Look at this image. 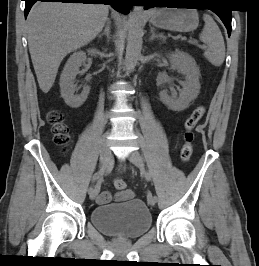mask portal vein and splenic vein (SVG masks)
<instances>
[{
    "instance_id": "obj_1",
    "label": "portal vein and splenic vein",
    "mask_w": 259,
    "mask_h": 266,
    "mask_svg": "<svg viewBox=\"0 0 259 266\" xmlns=\"http://www.w3.org/2000/svg\"><path fill=\"white\" fill-rule=\"evenodd\" d=\"M189 42H192V41H189ZM193 43H195V42H193ZM198 45V44H197ZM200 48H202V49H205L206 48V46L205 45H198Z\"/></svg>"
}]
</instances>
